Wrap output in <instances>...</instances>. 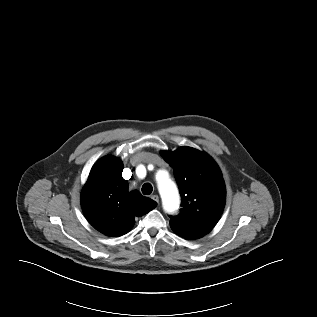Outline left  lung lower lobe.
<instances>
[{"label": "left lung lower lobe", "mask_w": 317, "mask_h": 317, "mask_svg": "<svg viewBox=\"0 0 317 317\" xmlns=\"http://www.w3.org/2000/svg\"><path fill=\"white\" fill-rule=\"evenodd\" d=\"M177 227L178 229L175 233L186 239L201 238L212 230L207 227H194L188 225H177Z\"/></svg>", "instance_id": "1"}]
</instances>
